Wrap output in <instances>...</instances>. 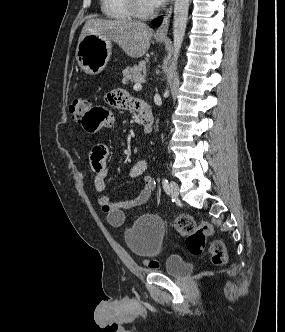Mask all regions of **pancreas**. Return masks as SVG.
<instances>
[{"label": "pancreas", "mask_w": 285, "mask_h": 332, "mask_svg": "<svg viewBox=\"0 0 285 332\" xmlns=\"http://www.w3.org/2000/svg\"><path fill=\"white\" fill-rule=\"evenodd\" d=\"M123 84L129 82H139L146 74V66L144 62L134 64L131 67L125 68L123 71Z\"/></svg>", "instance_id": "cf45deb5"}]
</instances>
